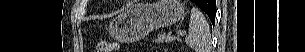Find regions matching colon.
Masks as SVG:
<instances>
[{
    "label": "colon",
    "mask_w": 305,
    "mask_h": 52,
    "mask_svg": "<svg viewBox=\"0 0 305 52\" xmlns=\"http://www.w3.org/2000/svg\"><path fill=\"white\" fill-rule=\"evenodd\" d=\"M117 49V43L108 40H101L97 45V52H111L116 51Z\"/></svg>",
    "instance_id": "1"
}]
</instances>
